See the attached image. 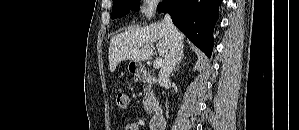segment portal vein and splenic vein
<instances>
[{
  "instance_id": "18ae733b",
  "label": "portal vein and splenic vein",
  "mask_w": 299,
  "mask_h": 130,
  "mask_svg": "<svg viewBox=\"0 0 299 130\" xmlns=\"http://www.w3.org/2000/svg\"><path fill=\"white\" fill-rule=\"evenodd\" d=\"M163 65V59L162 58H157L154 63H153V67L155 69L160 68Z\"/></svg>"
}]
</instances>
